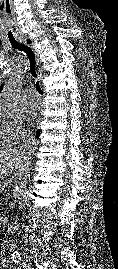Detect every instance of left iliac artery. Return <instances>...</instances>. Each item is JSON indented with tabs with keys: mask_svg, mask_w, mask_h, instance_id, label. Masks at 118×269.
<instances>
[{
	"mask_svg": "<svg viewBox=\"0 0 118 269\" xmlns=\"http://www.w3.org/2000/svg\"><path fill=\"white\" fill-rule=\"evenodd\" d=\"M12 260H13L14 263L20 264V262H21L20 254L19 253L12 254Z\"/></svg>",
	"mask_w": 118,
	"mask_h": 269,
	"instance_id": "1",
	"label": "left iliac artery"
}]
</instances>
